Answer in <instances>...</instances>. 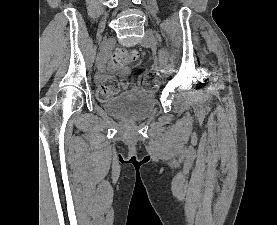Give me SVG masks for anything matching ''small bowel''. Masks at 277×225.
Segmentation results:
<instances>
[{
  "instance_id": "obj_1",
  "label": "small bowel",
  "mask_w": 277,
  "mask_h": 225,
  "mask_svg": "<svg viewBox=\"0 0 277 225\" xmlns=\"http://www.w3.org/2000/svg\"><path fill=\"white\" fill-rule=\"evenodd\" d=\"M98 73H99V79L103 80L104 79V65H101L98 69Z\"/></svg>"
}]
</instances>
